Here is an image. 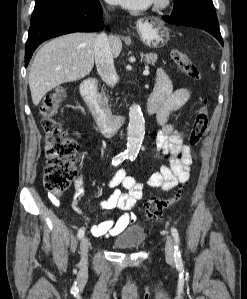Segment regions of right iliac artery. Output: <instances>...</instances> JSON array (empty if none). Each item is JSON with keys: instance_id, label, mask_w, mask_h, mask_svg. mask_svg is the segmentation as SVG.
Here are the masks:
<instances>
[{"instance_id": "1", "label": "right iliac artery", "mask_w": 247, "mask_h": 299, "mask_svg": "<svg viewBox=\"0 0 247 299\" xmlns=\"http://www.w3.org/2000/svg\"><path fill=\"white\" fill-rule=\"evenodd\" d=\"M128 158V155H125V153H122L120 155H118L117 157H115V159L112 161V164L114 165H118L121 161H123L124 159ZM85 233V229L82 227L79 229L78 231V238L81 239L84 236Z\"/></svg>"}]
</instances>
